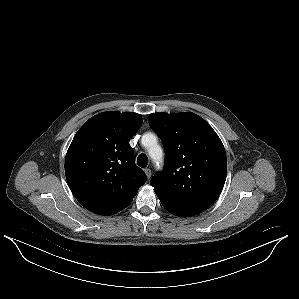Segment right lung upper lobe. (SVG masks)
Returning a JSON list of instances; mask_svg holds the SVG:
<instances>
[{"mask_svg":"<svg viewBox=\"0 0 299 299\" xmlns=\"http://www.w3.org/2000/svg\"><path fill=\"white\" fill-rule=\"evenodd\" d=\"M142 123L137 113L103 112L87 120L74 136L65 158V175L86 209L115 214L132 202L146 182L129 144Z\"/></svg>","mask_w":299,"mask_h":299,"instance_id":"right-lung-upper-lobe-1","label":"right lung upper lobe"}]
</instances>
